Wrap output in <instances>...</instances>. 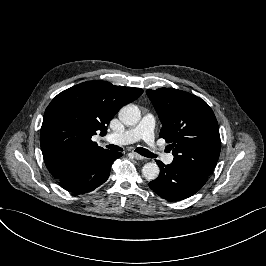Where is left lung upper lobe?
Listing matches in <instances>:
<instances>
[{"mask_svg":"<svg viewBox=\"0 0 266 266\" xmlns=\"http://www.w3.org/2000/svg\"><path fill=\"white\" fill-rule=\"evenodd\" d=\"M162 123L173 162L190 166L206 175L214 170L220 155L216 117L205 101L173 88L146 91Z\"/></svg>","mask_w":266,"mask_h":266,"instance_id":"left-lung-upper-lobe-1","label":"left lung upper lobe"}]
</instances>
